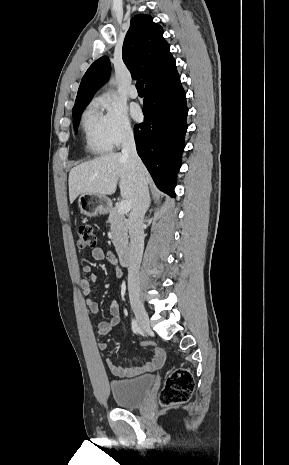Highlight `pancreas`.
<instances>
[{"instance_id":"pancreas-1","label":"pancreas","mask_w":289,"mask_h":465,"mask_svg":"<svg viewBox=\"0 0 289 465\" xmlns=\"http://www.w3.org/2000/svg\"><path fill=\"white\" fill-rule=\"evenodd\" d=\"M111 228V240L118 253L122 252L128 245V223L127 219L118 213L117 208H111L108 218Z\"/></svg>"}]
</instances>
